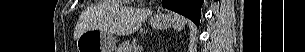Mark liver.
I'll use <instances>...</instances> for the list:
<instances>
[{
	"label": "liver",
	"mask_w": 305,
	"mask_h": 52,
	"mask_svg": "<svg viewBox=\"0 0 305 52\" xmlns=\"http://www.w3.org/2000/svg\"><path fill=\"white\" fill-rule=\"evenodd\" d=\"M151 13L148 9H134L123 6L119 2L112 4L110 12V33L115 35H129L136 32L145 19ZM91 26L90 19L87 14H84L78 22L75 32L74 39L77 38L86 30L93 29Z\"/></svg>",
	"instance_id": "obj_1"
}]
</instances>
